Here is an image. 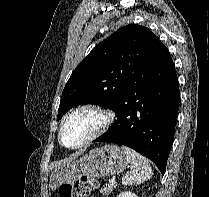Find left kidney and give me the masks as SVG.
I'll list each match as a JSON object with an SVG mask.
<instances>
[{"instance_id":"5707ae66","label":"left kidney","mask_w":209,"mask_h":197,"mask_svg":"<svg viewBox=\"0 0 209 197\" xmlns=\"http://www.w3.org/2000/svg\"><path fill=\"white\" fill-rule=\"evenodd\" d=\"M117 197H138V196L130 191H125L120 193Z\"/></svg>"}]
</instances>
